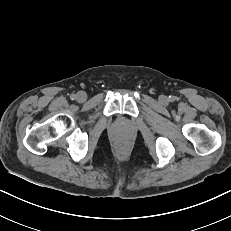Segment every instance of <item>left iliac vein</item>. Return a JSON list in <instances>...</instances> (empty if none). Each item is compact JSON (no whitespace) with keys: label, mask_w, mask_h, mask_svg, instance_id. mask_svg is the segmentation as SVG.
<instances>
[{"label":"left iliac vein","mask_w":231,"mask_h":231,"mask_svg":"<svg viewBox=\"0 0 231 231\" xmlns=\"http://www.w3.org/2000/svg\"><path fill=\"white\" fill-rule=\"evenodd\" d=\"M160 101L163 103V102H165L166 101V97L165 96H161L160 97Z\"/></svg>","instance_id":"left-iliac-vein-1"}]
</instances>
